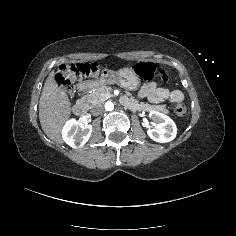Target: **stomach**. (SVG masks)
<instances>
[{"label":"stomach","instance_id":"stomach-1","mask_svg":"<svg viewBox=\"0 0 236 236\" xmlns=\"http://www.w3.org/2000/svg\"><path fill=\"white\" fill-rule=\"evenodd\" d=\"M100 83H117L120 87L128 91H136L140 86V78L132 68H122L118 71L109 70L106 78Z\"/></svg>","mask_w":236,"mask_h":236}]
</instances>
